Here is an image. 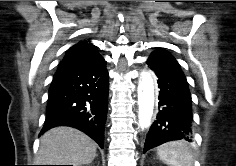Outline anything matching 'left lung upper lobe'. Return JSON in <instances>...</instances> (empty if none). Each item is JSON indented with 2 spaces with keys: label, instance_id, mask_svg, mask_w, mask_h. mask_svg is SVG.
I'll list each match as a JSON object with an SVG mask.
<instances>
[{
  "label": "left lung upper lobe",
  "instance_id": "1",
  "mask_svg": "<svg viewBox=\"0 0 236 166\" xmlns=\"http://www.w3.org/2000/svg\"><path fill=\"white\" fill-rule=\"evenodd\" d=\"M160 54H169V53L167 51L157 49L151 54V56L160 55Z\"/></svg>",
  "mask_w": 236,
  "mask_h": 166
}]
</instances>
